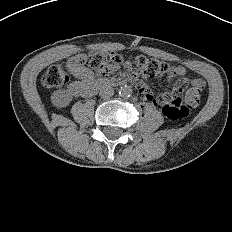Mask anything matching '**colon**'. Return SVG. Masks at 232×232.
Instances as JSON below:
<instances>
[{
	"label": "colon",
	"mask_w": 232,
	"mask_h": 232,
	"mask_svg": "<svg viewBox=\"0 0 232 232\" xmlns=\"http://www.w3.org/2000/svg\"><path fill=\"white\" fill-rule=\"evenodd\" d=\"M122 57L118 54L94 51L86 59L77 56V64L84 65L86 62L102 75L111 74L120 66ZM142 75L146 77H162L169 66L155 58L138 56L134 60ZM68 81V75L62 64L51 65L42 78V83L46 87H58ZM202 89L189 85L186 80L176 82L171 94H162L157 98L158 104L162 106V113L171 120L182 119L189 113V109L198 105L201 98ZM183 95V100L180 98Z\"/></svg>",
	"instance_id": "colon-1"
}]
</instances>
